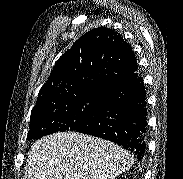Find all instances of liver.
Here are the masks:
<instances>
[{
	"instance_id": "6515ba94",
	"label": "liver",
	"mask_w": 183,
	"mask_h": 179,
	"mask_svg": "<svg viewBox=\"0 0 183 179\" xmlns=\"http://www.w3.org/2000/svg\"><path fill=\"white\" fill-rule=\"evenodd\" d=\"M132 164L129 152L117 144L59 132L31 146L23 179H115Z\"/></svg>"
}]
</instances>
